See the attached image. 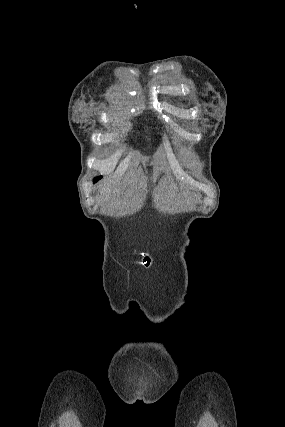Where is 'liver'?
Listing matches in <instances>:
<instances>
[{
	"label": "liver",
	"mask_w": 285,
	"mask_h": 427,
	"mask_svg": "<svg viewBox=\"0 0 285 427\" xmlns=\"http://www.w3.org/2000/svg\"><path fill=\"white\" fill-rule=\"evenodd\" d=\"M112 192V189H111V187H109V186H104L103 188H101V190H100V193L101 194H107V195H109L110 193ZM114 192V191H113Z\"/></svg>",
	"instance_id": "liver-1"
}]
</instances>
